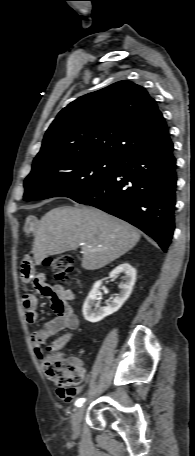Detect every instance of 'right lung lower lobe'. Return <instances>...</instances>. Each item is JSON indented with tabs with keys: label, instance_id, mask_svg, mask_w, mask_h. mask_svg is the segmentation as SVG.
Returning <instances> with one entry per match:
<instances>
[{
	"label": "right lung lower lobe",
	"instance_id": "right-lung-lower-lobe-1",
	"mask_svg": "<svg viewBox=\"0 0 195 456\" xmlns=\"http://www.w3.org/2000/svg\"><path fill=\"white\" fill-rule=\"evenodd\" d=\"M173 143L127 155L116 171L78 203L97 207L138 227L166 251L173 235L176 159Z\"/></svg>",
	"mask_w": 195,
	"mask_h": 456
}]
</instances>
